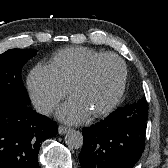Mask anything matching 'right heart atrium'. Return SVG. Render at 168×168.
<instances>
[{
	"mask_svg": "<svg viewBox=\"0 0 168 168\" xmlns=\"http://www.w3.org/2000/svg\"><path fill=\"white\" fill-rule=\"evenodd\" d=\"M27 84L34 107L43 115L49 114L70 92L52 64H37L29 73Z\"/></svg>",
	"mask_w": 168,
	"mask_h": 168,
	"instance_id": "right-heart-atrium-1",
	"label": "right heart atrium"
}]
</instances>
